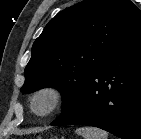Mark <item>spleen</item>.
<instances>
[{
    "label": "spleen",
    "mask_w": 141,
    "mask_h": 139,
    "mask_svg": "<svg viewBox=\"0 0 141 139\" xmlns=\"http://www.w3.org/2000/svg\"><path fill=\"white\" fill-rule=\"evenodd\" d=\"M76 133L84 139H108V133L96 127L78 128Z\"/></svg>",
    "instance_id": "3e777b00"
}]
</instances>
